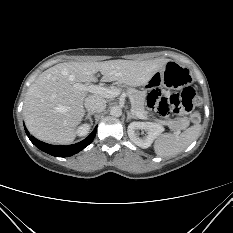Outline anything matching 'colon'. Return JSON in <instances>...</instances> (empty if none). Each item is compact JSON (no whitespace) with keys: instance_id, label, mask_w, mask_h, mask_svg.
<instances>
[{"instance_id":"obj_1","label":"colon","mask_w":233,"mask_h":233,"mask_svg":"<svg viewBox=\"0 0 233 233\" xmlns=\"http://www.w3.org/2000/svg\"><path fill=\"white\" fill-rule=\"evenodd\" d=\"M200 96L193 87H186L181 93L153 89L147 97V106L162 117L189 113L192 123L200 120L198 112L193 111L194 104L199 102Z\"/></svg>"}]
</instances>
